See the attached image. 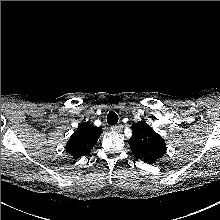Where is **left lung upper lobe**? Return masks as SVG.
Instances as JSON below:
<instances>
[{"instance_id":"1","label":"left lung upper lobe","mask_w":220,"mask_h":220,"mask_svg":"<svg viewBox=\"0 0 220 220\" xmlns=\"http://www.w3.org/2000/svg\"><path fill=\"white\" fill-rule=\"evenodd\" d=\"M132 133L129 144L136 158L154 163L165 154L166 143L164 139L147 123H134Z\"/></svg>"}]
</instances>
